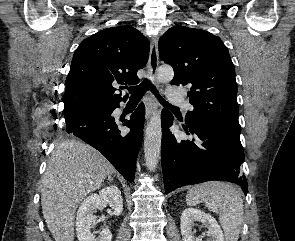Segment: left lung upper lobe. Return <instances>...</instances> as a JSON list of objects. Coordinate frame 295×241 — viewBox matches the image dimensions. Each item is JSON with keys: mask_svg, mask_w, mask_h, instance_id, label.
I'll use <instances>...</instances> for the list:
<instances>
[{"mask_svg": "<svg viewBox=\"0 0 295 241\" xmlns=\"http://www.w3.org/2000/svg\"><path fill=\"white\" fill-rule=\"evenodd\" d=\"M159 56L174 69L172 85L191 86L193 111L186 124H203L240 135L235 68L221 39L211 33L174 26L159 39Z\"/></svg>", "mask_w": 295, "mask_h": 241, "instance_id": "5c2ea615", "label": "left lung upper lobe"}]
</instances>
